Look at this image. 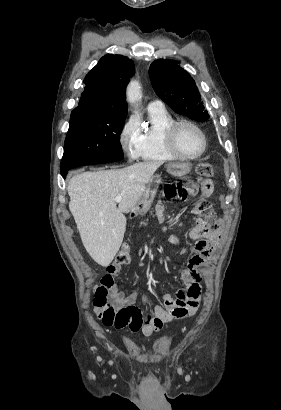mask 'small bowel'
Wrapping results in <instances>:
<instances>
[{
	"mask_svg": "<svg viewBox=\"0 0 281 410\" xmlns=\"http://www.w3.org/2000/svg\"><path fill=\"white\" fill-rule=\"evenodd\" d=\"M198 190H200L202 199L198 200L191 211L193 226L188 232L189 239L196 242L193 248V255L187 261L185 267L180 271L183 287L180 288L174 296L169 293L163 295V306H154L147 315L145 322L142 315L140 323L133 332H142L144 335H150L162 328L163 324L174 318L187 317L192 315L195 310L186 313L189 308L190 299L200 301L201 272L200 267L204 265L220 240L219 225L212 214L210 208L206 205L204 199L209 197L213 191V183L210 179H198ZM165 206L163 202L156 205V216L159 223L165 222ZM186 249L178 251L184 254ZM122 265L110 264L106 268V274L101 279V285L97 289L94 300V311L99 317L108 308L115 311L140 310L137 307V293L125 294L118 290L115 279L120 273ZM130 321L133 322L132 318Z\"/></svg>",
	"mask_w": 281,
	"mask_h": 410,
	"instance_id": "obj_1",
	"label": "small bowel"
}]
</instances>
